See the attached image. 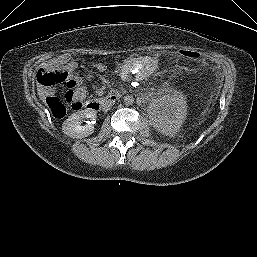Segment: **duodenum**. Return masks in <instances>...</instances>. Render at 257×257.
Here are the masks:
<instances>
[{"label": "duodenum", "mask_w": 257, "mask_h": 257, "mask_svg": "<svg viewBox=\"0 0 257 257\" xmlns=\"http://www.w3.org/2000/svg\"><path fill=\"white\" fill-rule=\"evenodd\" d=\"M120 94L118 92H110L100 99L89 100L86 103V109L92 112H98L101 109L108 108L118 101Z\"/></svg>", "instance_id": "obj_1"}]
</instances>
